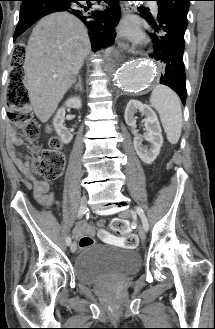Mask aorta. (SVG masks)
<instances>
[{"instance_id": "762f6f07", "label": "aorta", "mask_w": 215, "mask_h": 329, "mask_svg": "<svg viewBox=\"0 0 215 329\" xmlns=\"http://www.w3.org/2000/svg\"><path fill=\"white\" fill-rule=\"evenodd\" d=\"M155 73L156 70L150 63L121 60L115 64L112 70V78L120 89L136 92L146 89L153 81Z\"/></svg>"}]
</instances>
